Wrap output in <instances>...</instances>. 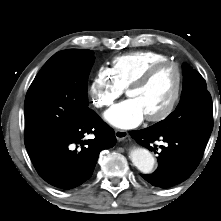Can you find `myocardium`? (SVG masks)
<instances>
[{
  "instance_id": "obj_1",
  "label": "myocardium",
  "mask_w": 221,
  "mask_h": 221,
  "mask_svg": "<svg viewBox=\"0 0 221 221\" xmlns=\"http://www.w3.org/2000/svg\"><path fill=\"white\" fill-rule=\"evenodd\" d=\"M172 67L174 68L177 76L176 80V87L173 94L172 99L170 100L169 104L163 109L161 112L146 116V120L149 122H160L168 118L175 110L176 106L178 105L182 90H183V71L179 63L172 61V60H165L158 63H155L148 67L133 83L129 85L127 88V94L132 89H139L146 86L150 80L163 68L165 67Z\"/></svg>"
}]
</instances>
